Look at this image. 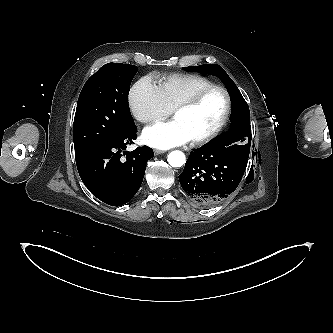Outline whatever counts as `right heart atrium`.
Returning a JSON list of instances; mask_svg holds the SVG:
<instances>
[{
  "instance_id": "right-heart-atrium-1",
  "label": "right heart atrium",
  "mask_w": 333,
  "mask_h": 333,
  "mask_svg": "<svg viewBox=\"0 0 333 333\" xmlns=\"http://www.w3.org/2000/svg\"><path fill=\"white\" fill-rule=\"evenodd\" d=\"M129 107L133 117L144 124L162 120L172 111L165 103L158 86L148 77L140 79L131 88Z\"/></svg>"
}]
</instances>
